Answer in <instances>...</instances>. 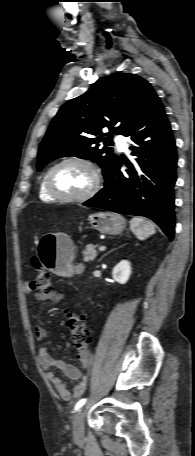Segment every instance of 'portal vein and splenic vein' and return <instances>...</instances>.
Segmentation results:
<instances>
[{
  "label": "portal vein and splenic vein",
  "instance_id": "1",
  "mask_svg": "<svg viewBox=\"0 0 195 456\" xmlns=\"http://www.w3.org/2000/svg\"><path fill=\"white\" fill-rule=\"evenodd\" d=\"M98 249H99V251H105L106 247L105 246H100Z\"/></svg>",
  "mask_w": 195,
  "mask_h": 456
}]
</instances>
